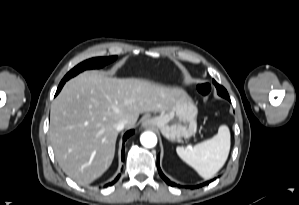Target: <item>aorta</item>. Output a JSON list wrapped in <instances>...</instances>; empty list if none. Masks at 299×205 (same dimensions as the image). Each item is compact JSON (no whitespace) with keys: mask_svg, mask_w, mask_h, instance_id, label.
Wrapping results in <instances>:
<instances>
[{"mask_svg":"<svg viewBox=\"0 0 299 205\" xmlns=\"http://www.w3.org/2000/svg\"><path fill=\"white\" fill-rule=\"evenodd\" d=\"M141 144L146 148H153L157 144V137L153 132H144L140 137Z\"/></svg>","mask_w":299,"mask_h":205,"instance_id":"obj_1","label":"aorta"}]
</instances>
